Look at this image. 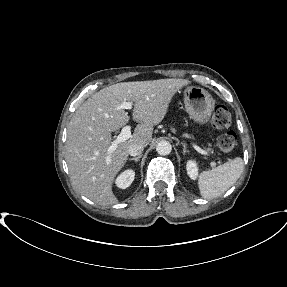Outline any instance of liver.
I'll use <instances>...</instances> for the list:
<instances>
[{
    "instance_id": "6515ba94",
    "label": "liver",
    "mask_w": 287,
    "mask_h": 287,
    "mask_svg": "<svg viewBox=\"0 0 287 287\" xmlns=\"http://www.w3.org/2000/svg\"><path fill=\"white\" fill-rule=\"evenodd\" d=\"M188 84L185 79L123 82L88 98L67 126L65 159L74 189L100 206L116 204L112 185L128 159L129 146L151 142L153 126L164 119L176 92ZM124 101L134 103L132 117L139 124L128 140L109 153L111 133L130 119L124 109H117Z\"/></svg>"
}]
</instances>
